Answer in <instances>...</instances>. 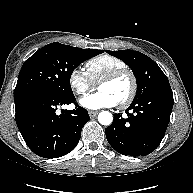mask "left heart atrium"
Wrapping results in <instances>:
<instances>
[{
	"instance_id": "obj_1",
	"label": "left heart atrium",
	"mask_w": 193,
	"mask_h": 193,
	"mask_svg": "<svg viewBox=\"0 0 193 193\" xmlns=\"http://www.w3.org/2000/svg\"><path fill=\"white\" fill-rule=\"evenodd\" d=\"M117 104V101L109 93L103 91L86 95L80 99V105L90 110L112 108Z\"/></svg>"
}]
</instances>
